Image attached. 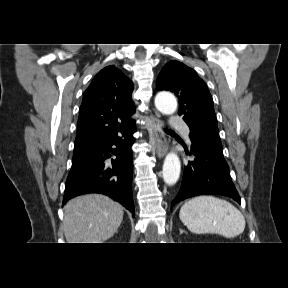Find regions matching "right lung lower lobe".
Returning a JSON list of instances; mask_svg holds the SVG:
<instances>
[{"label": "right lung lower lobe", "instance_id": "obj_1", "mask_svg": "<svg viewBox=\"0 0 288 288\" xmlns=\"http://www.w3.org/2000/svg\"><path fill=\"white\" fill-rule=\"evenodd\" d=\"M135 130L134 123L105 143L73 157L63 204L81 194L101 193L118 201L134 215L131 145Z\"/></svg>", "mask_w": 288, "mask_h": 288}]
</instances>
